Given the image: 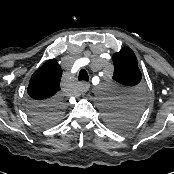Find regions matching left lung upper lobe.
I'll list each match as a JSON object with an SVG mask.
<instances>
[{
	"label": "left lung upper lobe",
	"instance_id": "5c2ea615",
	"mask_svg": "<svg viewBox=\"0 0 174 174\" xmlns=\"http://www.w3.org/2000/svg\"><path fill=\"white\" fill-rule=\"evenodd\" d=\"M114 74L113 79L117 82L135 86L141 81V72L138 61L133 51L124 47L120 52L113 55ZM124 107H115L106 116L108 124L115 130L123 131L129 128L136 120L140 111V96L135 94L127 98Z\"/></svg>",
	"mask_w": 174,
	"mask_h": 174
}]
</instances>
